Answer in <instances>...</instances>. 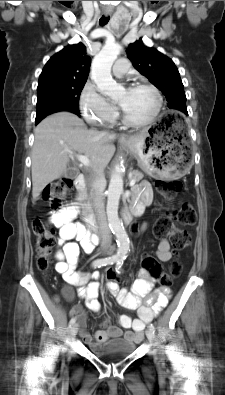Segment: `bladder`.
I'll return each mask as SVG.
<instances>
[{"label": "bladder", "instance_id": "bladder-1", "mask_svg": "<svg viewBox=\"0 0 225 395\" xmlns=\"http://www.w3.org/2000/svg\"><path fill=\"white\" fill-rule=\"evenodd\" d=\"M91 349L98 358L109 360L132 354L136 349V344L125 338H115L104 344H94Z\"/></svg>", "mask_w": 225, "mask_h": 395}]
</instances>
